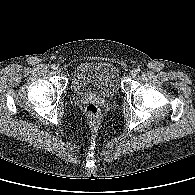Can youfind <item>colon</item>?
<instances>
[{"mask_svg": "<svg viewBox=\"0 0 195 195\" xmlns=\"http://www.w3.org/2000/svg\"><path fill=\"white\" fill-rule=\"evenodd\" d=\"M85 111H86V114L88 116V118L92 121H97L100 117V109L99 107L91 102V103H88L85 107Z\"/></svg>", "mask_w": 195, "mask_h": 195, "instance_id": "obj_1", "label": "colon"}]
</instances>
